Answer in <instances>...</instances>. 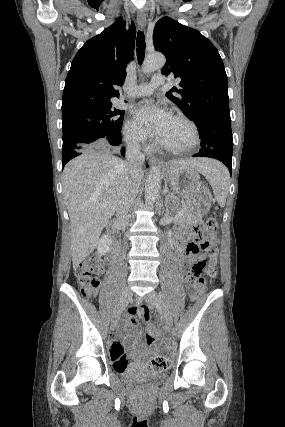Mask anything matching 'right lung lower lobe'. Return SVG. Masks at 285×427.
<instances>
[{
    "instance_id": "obj_1",
    "label": "right lung lower lobe",
    "mask_w": 285,
    "mask_h": 427,
    "mask_svg": "<svg viewBox=\"0 0 285 427\" xmlns=\"http://www.w3.org/2000/svg\"><path fill=\"white\" fill-rule=\"evenodd\" d=\"M121 144V143H120ZM99 148H102V147H97V148H95V147H92V148H89V147H87L86 145H79V146H77V148L76 149H71V150H69L68 152H66V153H63V157H62V169L64 168V166L66 165V163L69 161V160H71L72 158H74V157H76V156H78V155H80V154H82V153H84V152H87V151H92V150H94V149H99ZM121 154L122 155H124L125 154V152H124V148L121 150Z\"/></svg>"
}]
</instances>
